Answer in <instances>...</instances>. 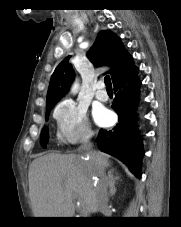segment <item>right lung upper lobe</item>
Returning <instances> with one entry per match:
<instances>
[{"label":"right lung upper lobe","instance_id":"1","mask_svg":"<svg viewBox=\"0 0 181 227\" xmlns=\"http://www.w3.org/2000/svg\"><path fill=\"white\" fill-rule=\"evenodd\" d=\"M128 55L119 38L109 30H102L98 33L94 45L88 52V58L95 66H111L108 73L112 80L120 71ZM69 58L70 56L66 57L51 76L46 107L55 105L67 92L74 79L75 74L72 65L69 63Z\"/></svg>","mask_w":181,"mask_h":227}]
</instances>
